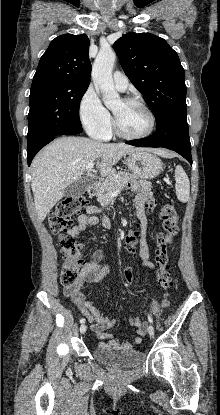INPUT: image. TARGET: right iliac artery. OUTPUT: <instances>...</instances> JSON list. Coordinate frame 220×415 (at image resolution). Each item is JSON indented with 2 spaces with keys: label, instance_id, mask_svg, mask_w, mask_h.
Returning <instances> with one entry per match:
<instances>
[{
  "label": "right iliac artery",
  "instance_id": "right-iliac-artery-1",
  "mask_svg": "<svg viewBox=\"0 0 220 415\" xmlns=\"http://www.w3.org/2000/svg\"><path fill=\"white\" fill-rule=\"evenodd\" d=\"M80 323H85V318H81Z\"/></svg>",
  "mask_w": 220,
  "mask_h": 415
}]
</instances>
